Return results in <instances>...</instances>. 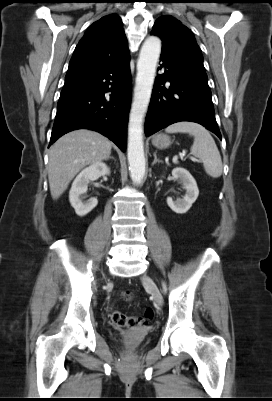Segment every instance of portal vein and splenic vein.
<instances>
[{
	"instance_id": "1",
	"label": "portal vein and splenic vein",
	"mask_w": 272,
	"mask_h": 401,
	"mask_svg": "<svg viewBox=\"0 0 272 401\" xmlns=\"http://www.w3.org/2000/svg\"><path fill=\"white\" fill-rule=\"evenodd\" d=\"M185 156V153H181L180 154V157H184ZM191 158V160H193V161H195V162H200V160H198L197 158H195V157H190ZM177 160V158H175L174 159V161H176Z\"/></svg>"
}]
</instances>
